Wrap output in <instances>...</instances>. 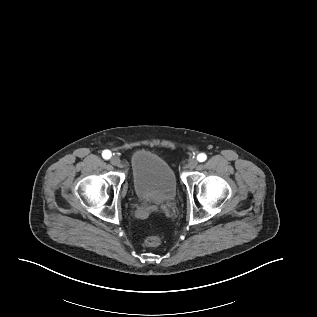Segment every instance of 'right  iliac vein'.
Here are the masks:
<instances>
[{
    "label": "right iliac vein",
    "mask_w": 317,
    "mask_h": 317,
    "mask_svg": "<svg viewBox=\"0 0 317 317\" xmlns=\"http://www.w3.org/2000/svg\"><path fill=\"white\" fill-rule=\"evenodd\" d=\"M110 162L113 166H119L120 165V159L119 157L117 156H113L111 159H110Z\"/></svg>",
    "instance_id": "1"
}]
</instances>
